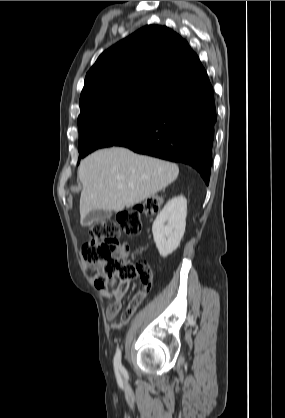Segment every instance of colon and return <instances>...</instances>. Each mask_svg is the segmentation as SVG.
Listing matches in <instances>:
<instances>
[{
  "label": "colon",
  "mask_w": 285,
  "mask_h": 418,
  "mask_svg": "<svg viewBox=\"0 0 285 418\" xmlns=\"http://www.w3.org/2000/svg\"><path fill=\"white\" fill-rule=\"evenodd\" d=\"M162 203L160 195L153 196L128 211L117 215V222L103 221L89 228V235L82 246L83 260L87 264L100 265V271L94 278L97 288L106 290L112 279H128L139 272V265L130 262L127 245L121 244V231L127 235H137L142 229L141 217L156 212ZM149 287L142 284L136 291L133 300L141 303L148 295Z\"/></svg>",
  "instance_id": "1"
}]
</instances>
